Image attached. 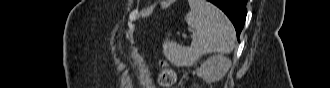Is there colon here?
Wrapping results in <instances>:
<instances>
[{"mask_svg":"<svg viewBox=\"0 0 330 88\" xmlns=\"http://www.w3.org/2000/svg\"><path fill=\"white\" fill-rule=\"evenodd\" d=\"M175 81V73L166 62L162 63V71L159 77V83L162 87H170Z\"/></svg>","mask_w":330,"mask_h":88,"instance_id":"obj_1","label":"colon"}]
</instances>
